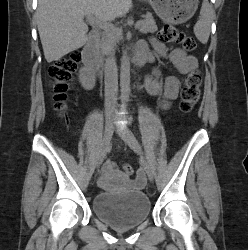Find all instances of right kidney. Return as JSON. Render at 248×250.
Returning <instances> with one entry per match:
<instances>
[{
	"label": "right kidney",
	"mask_w": 248,
	"mask_h": 250,
	"mask_svg": "<svg viewBox=\"0 0 248 250\" xmlns=\"http://www.w3.org/2000/svg\"><path fill=\"white\" fill-rule=\"evenodd\" d=\"M79 82L85 90H92L95 87V74L88 68H81L79 71Z\"/></svg>",
	"instance_id": "obj_1"
}]
</instances>
